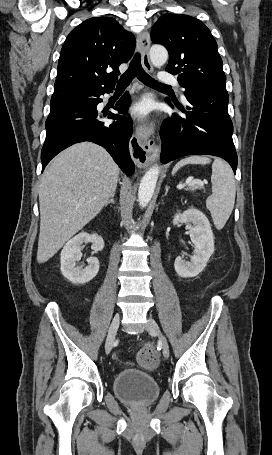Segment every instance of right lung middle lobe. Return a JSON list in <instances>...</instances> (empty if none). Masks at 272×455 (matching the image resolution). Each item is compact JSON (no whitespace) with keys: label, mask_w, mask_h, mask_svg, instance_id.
Wrapping results in <instances>:
<instances>
[{"label":"right lung middle lobe","mask_w":272,"mask_h":455,"mask_svg":"<svg viewBox=\"0 0 272 455\" xmlns=\"http://www.w3.org/2000/svg\"><path fill=\"white\" fill-rule=\"evenodd\" d=\"M83 99H84V98H82V99H76V100H72V101H81V100H83ZM68 102H71V101H68ZM68 102H65V103H68ZM65 103H51V108L58 107V106H60V105H62V104H65Z\"/></svg>","instance_id":"right-lung-middle-lobe-1"}]
</instances>
